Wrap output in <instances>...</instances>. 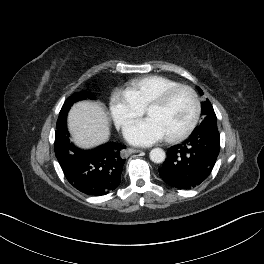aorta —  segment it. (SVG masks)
Wrapping results in <instances>:
<instances>
[{"label": "aorta", "mask_w": 264, "mask_h": 264, "mask_svg": "<svg viewBox=\"0 0 264 264\" xmlns=\"http://www.w3.org/2000/svg\"><path fill=\"white\" fill-rule=\"evenodd\" d=\"M150 160L154 163H162L166 159L165 151L161 148H154L150 151Z\"/></svg>", "instance_id": "762f6f07"}]
</instances>
